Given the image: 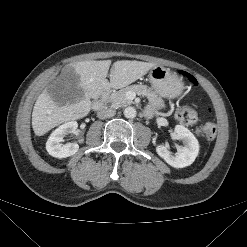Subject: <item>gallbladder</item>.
I'll list each match as a JSON object with an SVG mask.
<instances>
[{
  "mask_svg": "<svg viewBox=\"0 0 247 247\" xmlns=\"http://www.w3.org/2000/svg\"><path fill=\"white\" fill-rule=\"evenodd\" d=\"M77 77L75 78V82L77 81ZM48 93L52 98H56L58 96L65 95L67 97V101H72L75 99V94L77 93L74 84H72L71 79L68 78L65 74L60 75L52 84L47 88ZM58 103H65L58 98H56Z\"/></svg>",
  "mask_w": 247,
  "mask_h": 247,
  "instance_id": "obj_1",
  "label": "gallbladder"
}]
</instances>
